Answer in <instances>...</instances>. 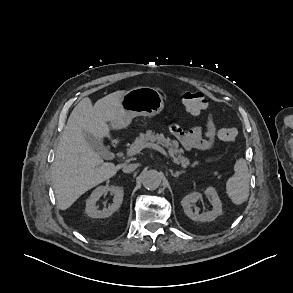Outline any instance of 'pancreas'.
Returning <instances> with one entry per match:
<instances>
[{"instance_id": "pancreas-1", "label": "pancreas", "mask_w": 293, "mask_h": 293, "mask_svg": "<svg viewBox=\"0 0 293 293\" xmlns=\"http://www.w3.org/2000/svg\"><path fill=\"white\" fill-rule=\"evenodd\" d=\"M154 142H158L165 147L168 150L169 156L172 157L173 162L181 165L183 168H186L189 165L191 167H195L200 163L198 160H195L192 164H190V159L183 156L184 150L182 148H178V142L176 140L165 138L163 134H155L151 130L146 131V133H140L139 137H137L130 145V148L135 145ZM213 175L217 176V178L221 177L218 175V172H214Z\"/></svg>"}]
</instances>
